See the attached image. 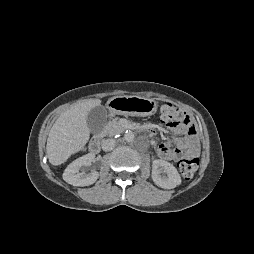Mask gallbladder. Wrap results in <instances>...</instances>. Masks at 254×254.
Listing matches in <instances>:
<instances>
[{
  "label": "gallbladder",
  "mask_w": 254,
  "mask_h": 254,
  "mask_svg": "<svg viewBox=\"0 0 254 254\" xmlns=\"http://www.w3.org/2000/svg\"><path fill=\"white\" fill-rule=\"evenodd\" d=\"M107 122V110L100 105L90 110L87 116V126L93 134H99Z\"/></svg>",
  "instance_id": "obj_1"
}]
</instances>
